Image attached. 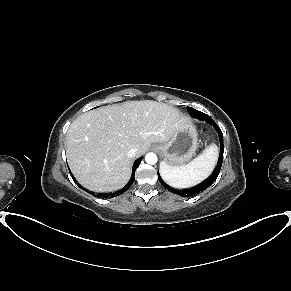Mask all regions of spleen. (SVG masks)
<instances>
[{"mask_svg": "<svg viewBox=\"0 0 291 291\" xmlns=\"http://www.w3.org/2000/svg\"><path fill=\"white\" fill-rule=\"evenodd\" d=\"M218 157V149L211 145L190 163L181 166L160 164L162 179L171 187L183 189L195 186L206 179L214 169Z\"/></svg>", "mask_w": 291, "mask_h": 291, "instance_id": "spleen-1", "label": "spleen"}]
</instances>
